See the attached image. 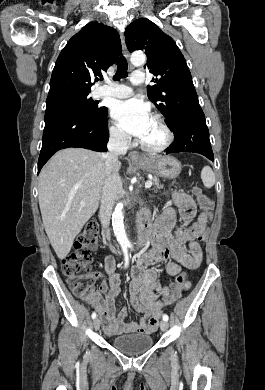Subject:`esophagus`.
Returning <instances> with one entry per match:
<instances>
[{"mask_svg":"<svg viewBox=\"0 0 265 390\" xmlns=\"http://www.w3.org/2000/svg\"><path fill=\"white\" fill-rule=\"evenodd\" d=\"M121 44H122V50H123L124 56L127 59H129L130 54H129V51L126 47L125 39H124V36L122 34H121ZM129 160L132 162H143L144 161L143 157L136 151H131L129 153Z\"/></svg>","mask_w":265,"mask_h":390,"instance_id":"esophagus-1","label":"esophagus"}]
</instances>
